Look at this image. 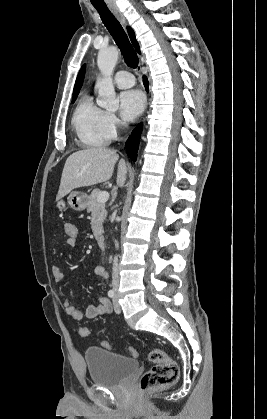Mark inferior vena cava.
Returning <instances> with one entry per match:
<instances>
[{
  "label": "inferior vena cava",
  "mask_w": 267,
  "mask_h": 419,
  "mask_svg": "<svg viewBox=\"0 0 267 419\" xmlns=\"http://www.w3.org/2000/svg\"><path fill=\"white\" fill-rule=\"evenodd\" d=\"M112 286L113 289H117L119 286V270H118V258L115 256L112 267Z\"/></svg>",
  "instance_id": "602c4592"
}]
</instances>
